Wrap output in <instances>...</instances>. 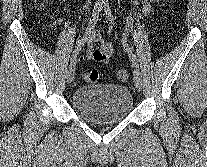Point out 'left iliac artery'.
<instances>
[{
	"label": "left iliac artery",
	"mask_w": 207,
	"mask_h": 167,
	"mask_svg": "<svg viewBox=\"0 0 207 167\" xmlns=\"http://www.w3.org/2000/svg\"><path fill=\"white\" fill-rule=\"evenodd\" d=\"M103 7H104V11L106 13V16L107 18L109 19V21L111 22V24H115V21H114V18L112 16V12H111V9H110V6H109V3L108 1H104L103 2ZM123 45L128 53V56L130 58V60L132 61L133 65L136 67V69L139 68V65H138V62L134 56V54L132 53V50L131 48L128 46V44L126 43V41H123Z\"/></svg>",
	"instance_id": "obj_1"
}]
</instances>
